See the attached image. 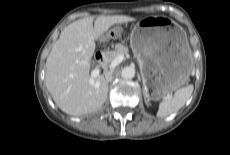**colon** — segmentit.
I'll return each mask as SVG.
<instances>
[{"label": "colon", "instance_id": "5ec220e1", "mask_svg": "<svg viewBox=\"0 0 230 155\" xmlns=\"http://www.w3.org/2000/svg\"><path fill=\"white\" fill-rule=\"evenodd\" d=\"M125 34V27L122 24H115L113 29L108 33H101L99 35V44L101 46H108L111 42H118Z\"/></svg>", "mask_w": 230, "mask_h": 155}]
</instances>
